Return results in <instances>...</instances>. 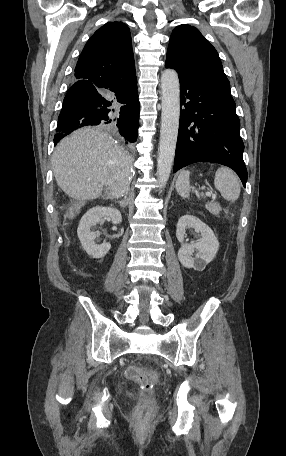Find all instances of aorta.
<instances>
[{"label":"aorta","instance_id":"aorta-1","mask_svg":"<svg viewBox=\"0 0 286 456\" xmlns=\"http://www.w3.org/2000/svg\"><path fill=\"white\" fill-rule=\"evenodd\" d=\"M161 90L162 114L157 176L159 181L165 184L172 170L180 117V84L175 70L166 69L163 71L161 75Z\"/></svg>","mask_w":286,"mask_h":456}]
</instances>
